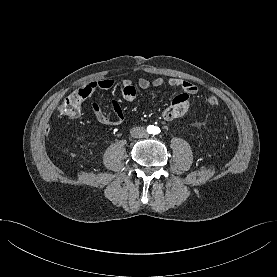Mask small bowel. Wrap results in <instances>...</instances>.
I'll return each mask as SVG.
<instances>
[{
    "instance_id": "small-bowel-1",
    "label": "small bowel",
    "mask_w": 277,
    "mask_h": 277,
    "mask_svg": "<svg viewBox=\"0 0 277 277\" xmlns=\"http://www.w3.org/2000/svg\"><path fill=\"white\" fill-rule=\"evenodd\" d=\"M165 84L171 87H178L182 90V93L176 95L168 107L162 113V116L167 121H174L181 118L189 109L190 97L198 92V86L196 83L183 80L180 78H169L165 80L161 77H156L152 80L141 77L137 81V86L140 89H149L151 87H162ZM114 85V80L111 78H104L98 81H93L77 91H82L86 94V98L91 96L95 90H108ZM137 90L133 82L129 79L122 81V97L127 102L135 100ZM113 115H107L103 112L98 102H93L92 107L96 119L106 125H116L122 122L124 119L123 111L121 106L116 100H112Z\"/></svg>"
}]
</instances>
